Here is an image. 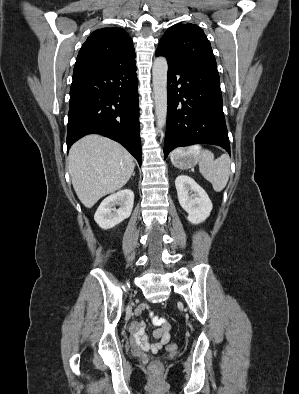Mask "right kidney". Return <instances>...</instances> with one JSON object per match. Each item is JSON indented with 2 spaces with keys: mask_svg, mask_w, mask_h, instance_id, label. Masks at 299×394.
Wrapping results in <instances>:
<instances>
[{
  "mask_svg": "<svg viewBox=\"0 0 299 394\" xmlns=\"http://www.w3.org/2000/svg\"><path fill=\"white\" fill-rule=\"evenodd\" d=\"M134 204V193L130 189L118 191L106 197L98 207L94 220L102 229H110L130 217ZM115 205L120 208L116 209Z\"/></svg>",
  "mask_w": 299,
  "mask_h": 394,
  "instance_id": "obj_1",
  "label": "right kidney"
}]
</instances>
